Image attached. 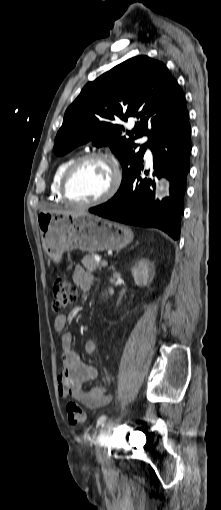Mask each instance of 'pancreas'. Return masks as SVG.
<instances>
[{
	"instance_id": "obj_1",
	"label": "pancreas",
	"mask_w": 221,
	"mask_h": 510,
	"mask_svg": "<svg viewBox=\"0 0 221 510\" xmlns=\"http://www.w3.org/2000/svg\"><path fill=\"white\" fill-rule=\"evenodd\" d=\"M81 262L84 265V267L90 272L95 271L96 269H101L100 264L95 259V254L86 255L85 257H83Z\"/></svg>"
}]
</instances>
